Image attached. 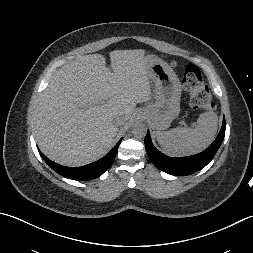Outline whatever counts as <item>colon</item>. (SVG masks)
I'll return each mask as SVG.
<instances>
[{
    "mask_svg": "<svg viewBox=\"0 0 253 253\" xmlns=\"http://www.w3.org/2000/svg\"><path fill=\"white\" fill-rule=\"evenodd\" d=\"M182 85L190 96L191 106L198 111H209L215 108V103L209 88L204 81L200 69L189 64L184 71Z\"/></svg>",
    "mask_w": 253,
    "mask_h": 253,
    "instance_id": "1",
    "label": "colon"
}]
</instances>
